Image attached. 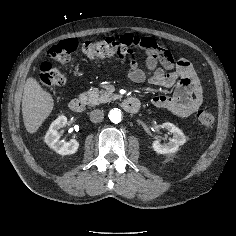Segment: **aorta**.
I'll return each instance as SVG.
<instances>
[{"mask_svg":"<svg viewBox=\"0 0 236 236\" xmlns=\"http://www.w3.org/2000/svg\"><path fill=\"white\" fill-rule=\"evenodd\" d=\"M121 118H122V114H121V111L119 109L110 110L109 119L111 120V122L119 123L121 121Z\"/></svg>","mask_w":236,"mask_h":236,"instance_id":"1","label":"aorta"}]
</instances>
